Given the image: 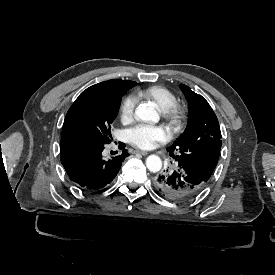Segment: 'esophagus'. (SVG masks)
I'll return each instance as SVG.
<instances>
[{"label": "esophagus", "mask_w": 275, "mask_h": 275, "mask_svg": "<svg viewBox=\"0 0 275 275\" xmlns=\"http://www.w3.org/2000/svg\"><path fill=\"white\" fill-rule=\"evenodd\" d=\"M135 153L141 154V155H147L148 154V152L142 151V150H136Z\"/></svg>", "instance_id": "34e87169"}]
</instances>
